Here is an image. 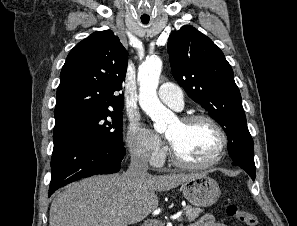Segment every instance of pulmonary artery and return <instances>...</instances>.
Returning <instances> with one entry per match:
<instances>
[{
    "instance_id": "e3ab8cb5",
    "label": "pulmonary artery",
    "mask_w": 297,
    "mask_h": 226,
    "mask_svg": "<svg viewBox=\"0 0 297 226\" xmlns=\"http://www.w3.org/2000/svg\"><path fill=\"white\" fill-rule=\"evenodd\" d=\"M160 100L166 105L180 110L183 107V92L177 85L166 82L162 83L158 89Z\"/></svg>"
}]
</instances>
